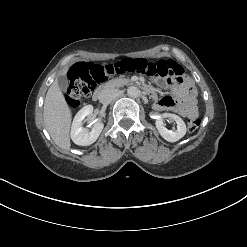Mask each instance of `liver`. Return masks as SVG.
<instances>
[{
    "mask_svg": "<svg viewBox=\"0 0 247 247\" xmlns=\"http://www.w3.org/2000/svg\"><path fill=\"white\" fill-rule=\"evenodd\" d=\"M67 69L64 70L65 75ZM44 123L52 140L61 149L69 150L70 143V126L71 111L65 102L64 96L55 80L49 87L43 110Z\"/></svg>",
    "mask_w": 247,
    "mask_h": 247,
    "instance_id": "obj_1",
    "label": "liver"
}]
</instances>
